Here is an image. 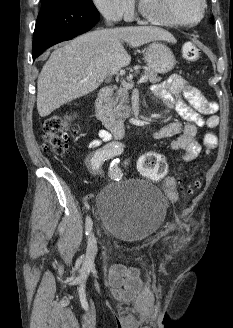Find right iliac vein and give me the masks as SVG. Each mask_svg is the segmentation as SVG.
Wrapping results in <instances>:
<instances>
[{
    "label": "right iliac vein",
    "instance_id": "1",
    "mask_svg": "<svg viewBox=\"0 0 233 328\" xmlns=\"http://www.w3.org/2000/svg\"><path fill=\"white\" fill-rule=\"evenodd\" d=\"M97 254V241L93 232H90L88 237V245L86 250L85 262L87 265H91Z\"/></svg>",
    "mask_w": 233,
    "mask_h": 328
}]
</instances>
